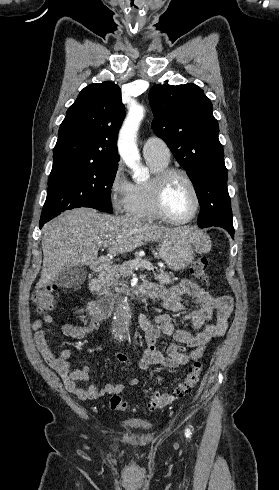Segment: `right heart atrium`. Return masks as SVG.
<instances>
[{
    "label": "right heart atrium",
    "instance_id": "1",
    "mask_svg": "<svg viewBox=\"0 0 279 490\" xmlns=\"http://www.w3.org/2000/svg\"><path fill=\"white\" fill-rule=\"evenodd\" d=\"M109 202L118 215H125L133 202L134 184L125 174L123 165L119 162L114 168L109 186Z\"/></svg>",
    "mask_w": 279,
    "mask_h": 490
}]
</instances>
